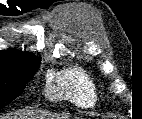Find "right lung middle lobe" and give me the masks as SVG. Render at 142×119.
Returning a JSON list of instances; mask_svg holds the SVG:
<instances>
[{
  "label": "right lung middle lobe",
  "mask_w": 142,
  "mask_h": 119,
  "mask_svg": "<svg viewBox=\"0 0 142 119\" xmlns=\"http://www.w3.org/2000/svg\"><path fill=\"white\" fill-rule=\"evenodd\" d=\"M39 63L0 68V109L21 95L26 83L36 73Z\"/></svg>",
  "instance_id": "1"
}]
</instances>
